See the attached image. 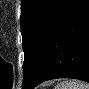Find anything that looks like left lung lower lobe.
Returning a JSON list of instances; mask_svg holds the SVG:
<instances>
[{"mask_svg": "<svg viewBox=\"0 0 89 89\" xmlns=\"http://www.w3.org/2000/svg\"><path fill=\"white\" fill-rule=\"evenodd\" d=\"M55 78H76L89 82V0L72 1L26 89H33Z\"/></svg>", "mask_w": 89, "mask_h": 89, "instance_id": "left-lung-lower-lobe-1", "label": "left lung lower lobe"}]
</instances>
